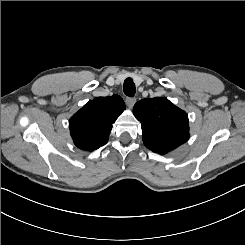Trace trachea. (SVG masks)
I'll return each instance as SVG.
<instances>
[{
	"mask_svg": "<svg viewBox=\"0 0 245 245\" xmlns=\"http://www.w3.org/2000/svg\"><path fill=\"white\" fill-rule=\"evenodd\" d=\"M123 90L125 95L128 97H133L136 92L135 84L131 78H127L123 84Z\"/></svg>",
	"mask_w": 245,
	"mask_h": 245,
	"instance_id": "3493384b",
	"label": "trachea"
}]
</instances>
